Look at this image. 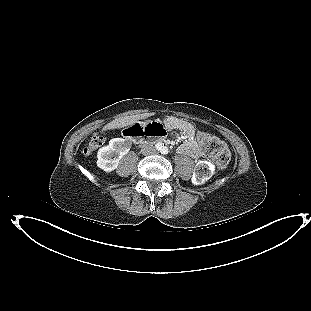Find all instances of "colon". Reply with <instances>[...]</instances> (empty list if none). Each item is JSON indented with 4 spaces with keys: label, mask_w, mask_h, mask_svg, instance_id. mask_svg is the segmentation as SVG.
I'll return each mask as SVG.
<instances>
[{
    "label": "colon",
    "mask_w": 311,
    "mask_h": 311,
    "mask_svg": "<svg viewBox=\"0 0 311 311\" xmlns=\"http://www.w3.org/2000/svg\"><path fill=\"white\" fill-rule=\"evenodd\" d=\"M138 128L143 127L138 126L130 129ZM130 129L126 130V134ZM154 131L160 137L165 135V130L162 127H157ZM104 141L105 139L101 134L93 135L88 145L83 149V153L85 155H91L95 150L104 144ZM199 142L203 154L210 158L219 169H225L228 166L231 159V152L223 141L215 136L202 133L199 135ZM212 175L213 169L210 163L207 161H200L196 165L193 180L197 184H203L208 181Z\"/></svg>",
    "instance_id": "colon-1"
}]
</instances>
